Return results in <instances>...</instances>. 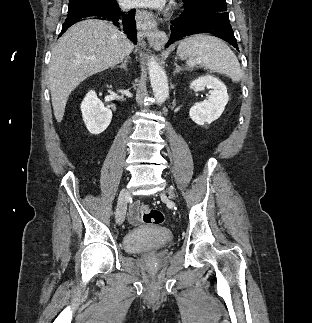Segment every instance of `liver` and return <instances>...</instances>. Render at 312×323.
Listing matches in <instances>:
<instances>
[{
	"instance_id": "1",
	"label": "liver",
	"mask_w": 312,
	"mask_h": 323,
	"mask_svg": "<svg viewBox=\"0 0 312 323\" xmlns=\"http://www.w3.org/2000/svg\"><path fill=\"white\" fill-rule=\"evenodd\" d=\"M133 46L125 34L106 20L77 22L52 48L48 68L54 116L62 122L67 100L89 76L114 68L130 56Z\"/></svg>"
}]
</instances>
